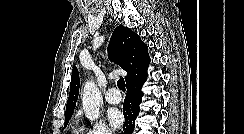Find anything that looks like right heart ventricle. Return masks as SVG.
Returning a JSON list of instances; mask_svg holds the SVG:
<instances>
[{"label":"right heart ventricle","mask_w":244,"mask_h":134,"mask_svg":"<svg viewBox=\"0 0 244 134\" xmlns=\"http://www.w3.org/2000/svg\"><path fill=\"white\" fill-rule=\"evenodd\" d=\"M72 134H85L84 132H82L80 129H78L77 127H75L72 131Z\"/></svg>","instance_id":"right-heart-ventricle-1"}]
</instances>
